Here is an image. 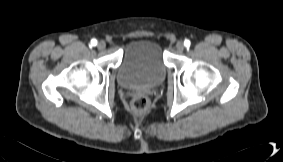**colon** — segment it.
<instances>
[{
  "mask_svg": "<svg viewBox=\"0 0 283 162\" xmlns=\"http://www.w3.org/2000/svg\"><path fill=\"white\" fill-rule=\"evenodd\" d=\"M149 106V100L144 95H137L132 101V108L137 112L145 111Z\"/></svg>",
  "mask_w": 283,
  "mask_h": 162,
  "instance_id": "colon-1",
  "label": "colon"
}]
</instances>
